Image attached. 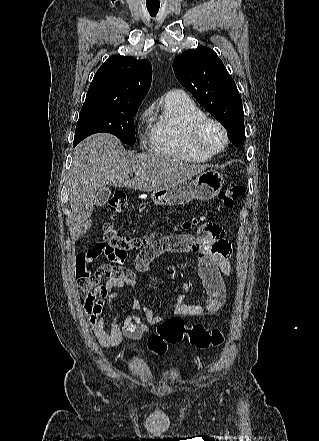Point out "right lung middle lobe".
Returning a JSON list of instances; mask_svg holds the SVG:
<instances>
[{
    "instance_id": "right-lung-middle-lobe-1",
    "label": "right lung middle lobe",
    "mask_w": 319,
    "mask_h": 441,
    "mask_svg": "<svg viewBox=\"0 0 319 441\" xmlns=\"http://www.w3.org/2000/svg\"><path fill=\"white\" fill-rule=\"evenodd\" d=\"M139 105L91 102L84 103L77 122L74 146L91 134L106 132L126 144H135L133 118Z\"/></svg>"
}]
</instances>
